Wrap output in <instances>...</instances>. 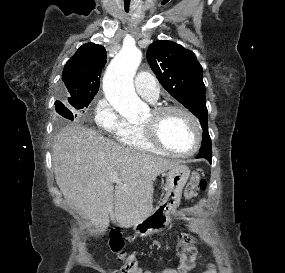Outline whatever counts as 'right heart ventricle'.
Listing matches in <instances>:
<instances>
[{
  "label": "right heart ventricle",
  "instance_id": "1",
  "mask_svg": "<svg viewBox=\"0 0 285 273\" xmlns=\"http://www.w3.org/2000/svg\"><path fill=\"white\" fill-rule=\"evenodd\" d=\"M120 143L131 150L148 152V153H161L160 150L151 145L145 138L141 127L138 125H131L128 132L118 138Z\"/></svg>",
  "mask_w": 285,
  "mask_h": 273
}]
</instances>
